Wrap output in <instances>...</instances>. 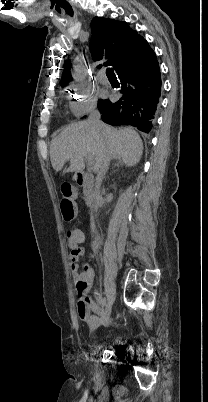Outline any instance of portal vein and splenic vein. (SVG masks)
<instances>
[{
  "instance_id": "obj_1",
  "label": "portal vein and splenic vein",
  "mask_w": 208,
  "mask_h": 402,
  "mask_svg": "<svg viewBox=\"0 0 208 402\" xmlns=\"http://www.w3.org/2000/svg\"><path fill=\"white\" fill-rule=\"evenodd\" d=\"M86 158H87V160H88V164H89V166H90V164H92V162H90V160H91V156H86Z\"/></svg>"
}]
</instances>
